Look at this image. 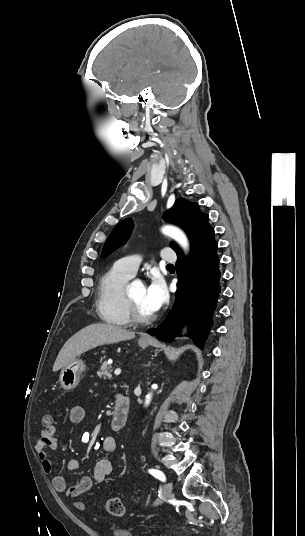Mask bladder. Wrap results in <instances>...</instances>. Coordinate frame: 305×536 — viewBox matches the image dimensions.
Segmentation results:
<instances>
[{"mask_svg": "<svg viewBox=\"0 0 305 536\" xmlns=\"http://www.w3.org/2000/svg\"><path fill=\"white\" fill-rule=\"evenodd\" d=\"M109 536H135L132 530L123 527H113L108 530Z\"/></svg>", "mask_w": 305, "mask_h": 536, "instance_id": "obj_1", "label": "bladder"}]
</instances>
